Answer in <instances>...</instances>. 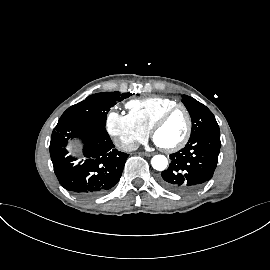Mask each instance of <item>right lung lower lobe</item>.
Segmentation results:
<instances>
[{
	"instance_id": "right-lung-lower-lobe-1",
	"label": "right lung lower lobe",
	"mask_w": 270,
	"mask_h": 270,
	"mask_svg": "<svg viewBox=\"0 0 270 270\" xmlns=\"http://www.w3.org/2000/svg\"><path fill=\"white\" fill-rule=\"evenodd\" d=\"M79 138L83 143V162L67 155L68 139ZM50 155L60 184L84 198L99 196L120 179L128 154L119 152L105 127L86 120L60 122L54 128Z\"/></svg>"
}]
</instances>
